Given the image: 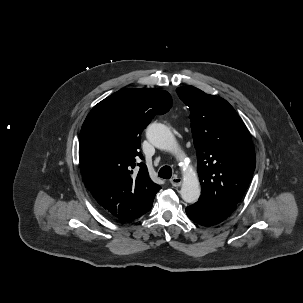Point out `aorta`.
<instances>
[{"mask_svg": "<svg viewBox=\"0 0 303 303\" xmlns=\"http://www.w3.org/2000/svg\"><path fill=\"white\" fill-rule=\"evenodd\" d=\"M146 137L158 149L179 154L177 141L166 125L162 123L150 124L146 130ZM179 155L183 157V154ZM200 193L201 188L197 174L194 171H185L180 190L182 199L187 203H194L199 199Z\"/></svg>", "mask_w": 303, "mask_h": 303, "instance_id": "obj_1", "label": "aorta"}]
</instances>
